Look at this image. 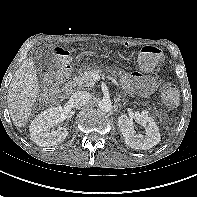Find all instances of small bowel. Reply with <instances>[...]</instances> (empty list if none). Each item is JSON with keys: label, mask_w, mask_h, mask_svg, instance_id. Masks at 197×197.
Listing matches in <instances>:
<instances>
[{"label": "small bowel", "mask_w": 197, "mask_h": 197, "mask_svg": "<svg viewBox=\"0 0 197 197\" xmlns=\"http://www.w3.org/2000/svg\"><path fill=\"white\" fill-rule=\"evenodd\" d=\"M123 84L132 90L138 91L142 95H149L154 92L159 84V78L156 75H144L140 72H134L130 77H122Z\"/></svg>", "instance_id": "c3829d8e"}]
</instances>
